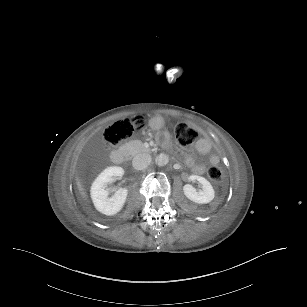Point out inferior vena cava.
<instances>
[{"label": "inferior vena cava", "mask_w": 307, "mask_h": 307, "mask_svg": "<svg viewBox=\"0 0 307 307\" xmlns=\"http://www.w3.org/2000/svg\"><path fill=\"white\" fill-rule=\"evenodd\" d=\"M132 166L134 169L141 171L148 166V163L143 159L142 156L136 155L132 160Z\"/></svg>", "instance_id": "602c4592"}]
</instances>
